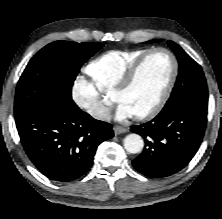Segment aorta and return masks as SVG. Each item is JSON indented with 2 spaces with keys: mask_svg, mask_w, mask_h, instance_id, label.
I'll list each match as a JSON object with an SVG mask.
<instances>
[{
  "mask_svg": "<svg viewBox=\"0 0 222 219\" xmlns=\"http://www.w3.org/2000/svg\"><path fill=\"white\" fill-rule=\"evenodd\" d=\"M123 145L127 152L136 154L143 149L144 141L140 135L132 133L124 138Z\"/></svg>",
  "mask_w": 222,
  "mask_h": 219,
  "instance_id": "762f6f07",
  "label": "aorta"
}]
</instances>
